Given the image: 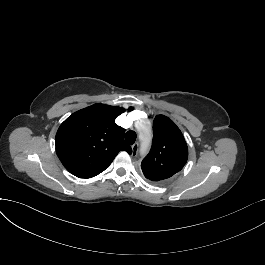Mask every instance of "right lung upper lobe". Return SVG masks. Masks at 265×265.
<instances>
[{"label":"right lung upper lobe","instance_id":"right-lung-upper-lobe-1","mask_svg":"<svg viewBox=\"0 0 265 265\" xmlns=\"http://www.w3.org/2000/svg\"><path fill=\"white\" fill-rule=\"evenodd\" d=\"M133 108L130 107L129 111ZM123 107L94 104L69 116L59 127L56 152L64 167L79 178H92L111 164L119 151L132 153L125 130L114 120Z\"/></svg>","mask_w":265,"mask_h":265}]
</instances>
